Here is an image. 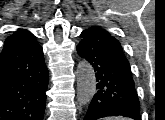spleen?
I'll list each match as a JSON object with an SVG mask.
<instances>
[{
	"instance_id": "3e777b00",
	"label": "spleen",
	"mask_w": 165,
	"mask_h": 120,
	"mask_svg": "<svg viewBox=\"0 0 165 120\" xmlns=\"http://www.w3.org/2000/svg\"><path fill=\"white\" fill-rule=\"evenodd\" d=\"M104 120H129L128 118L125 117H106Z\"/></svg>"
}]
</instances>
